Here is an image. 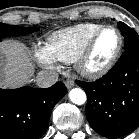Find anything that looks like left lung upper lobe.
I'll use <instances>...</instances> for the list:
<instances>
[{
    "label": "left lung upper lobe",
    "mask_w": 139,
    "mask_h": 139,
    "mask_svg": "<svg viewBox=\"0 0 139 139\" xmlns=\"http://www.w3.org/2000/svg\"><path fill=\"white\" fill-rule=\"evenodd\" d=\"M118 26L124 36V47L128 50L139 46V35L123 22H119Z\"/></svg>",
    "instance_id": "1"
}]
</instances>
